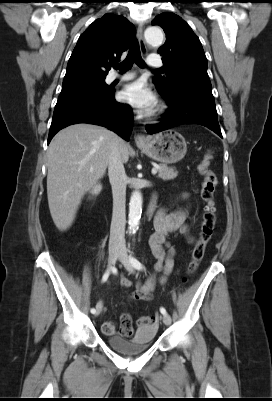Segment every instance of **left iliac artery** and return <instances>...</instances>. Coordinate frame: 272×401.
Wrapping results in <instances>:
<instances>
[{
	"instance_id": "left-iliac-artery-1",
	"label": "left iliac artery",
	"mask_w": 272,
	"mask_h": 401,
	"mask_svg": "<svg viewBox=\"0 0 272 401\" xmlns=\"http://www.w3.org/2000/svg\"><path fill=\"white\" fill-rule=\"evenodd\" d=\"M130 262H131L132 266H133L135 269H137V270H142V269H143V265H142L136 258L130 257ZM160 312H161L163 315H166V314H167V311H166V309H165L164 307H161V308H160Z\"/></svg>"
}]
</instances>
